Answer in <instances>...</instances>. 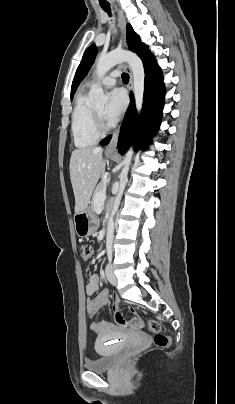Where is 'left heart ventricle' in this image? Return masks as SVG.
I'll return each mask as SVG.
<instances>
[{
  "instance_id": "b2bd125f",
  "label": "left heart ventricle",
  "mask_w": 235,
  "mask_h": 404,
  "mask_svg": "<svg viewBox=\"0 0 235 404\" xmlns=\"http://www.w3.org/2000/svg\"><path fill=\"white\" fill-rule=\"evenodd\" d=\"M95 110L104 118L105 107H98Z\"/></svg>"
}]
</instances>
